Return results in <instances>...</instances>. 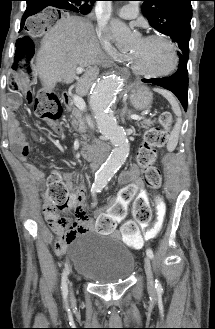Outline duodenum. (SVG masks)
I'll use <instances>...</instances> for the list:
<instances>
[{
  "label": "duodenum",
  "mask_w": 215,
  "mask_h": 329,
  "mask_svg": "<svg viewBox=\"0 0 215 329\" xmlns=\"http://www.w3.org/2000/svg\"><path fill=\"white\" fill-rule=\"evenodd\" d=\"M62 103L65 107H69L71 105V95L67 92L61 95ZM106 145H97L95 147H84L81 149L82 157L93 163L94 165L99 164L101 160V154L107 151Z\"/></svg>",
  "instance_id": "1"
}]
</instances>
